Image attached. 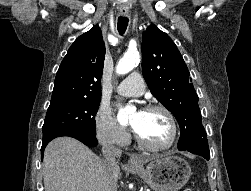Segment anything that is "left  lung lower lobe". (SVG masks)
Returning a JSON list of instances; mask_svg holds the SVG:
<instances>
[{
	"label": "left lung lower lobe",
	"mask_w": 251,
	"mask_h": 191,
	"mask_svg": "<svg viewBox=\"0 0 251 191\" xmlns=\"http://www.w3.org/2000/svg\"><path fill=\"white\" fill-rule=\"evenodd\" d=\"M179 150L188 151V152L200 155V156L204 157L207 160H209V158H210V154H204L198 148H184V149H179Z\"/></svg>",
	"instance_id": "1"
}]
</instances>
